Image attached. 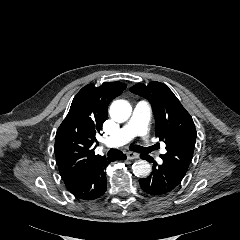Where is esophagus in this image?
Segmentation results:
<instances>
[{
	"label": "esophagus",
	"instance_id": "obj_1",
	"mask_svg": "<svg viewBox=\"0 0 240 240\" xmlns=\"http://www.w3.org/2000/svg\"><path fill=\"white\" fill-rule=\"evenodd\" d=\"M126 155H127L128 160H134V159L139 158V154L136 152H132V151H128Z\"/></svg>",
	"mask_w": 240,
	"mask_h": 240
}]
</instances>
